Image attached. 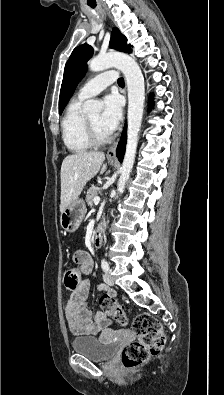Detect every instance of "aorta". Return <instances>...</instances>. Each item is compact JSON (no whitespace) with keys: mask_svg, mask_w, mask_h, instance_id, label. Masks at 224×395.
<instances>
[{"mask_svg":"<svg viewBox=\"0 0 224 395\" xmlns=\"http://www.w3.org/2000/svg\"><path fill=\"white\" fill-rule=\"evenodd\" d=\"M88 66L93 72H99L115 67L124 74L127 83V144L121 166V175L117 185L118 193L123 192L134 165L138 145V135L143 118L145 102L144 77L135 59L124 53H108L105 55H99L92 58L89 61ZM102 107L103 104L101 102L93 99L88 100L85 103V111L89 114L99 113Z\"/></svg>","mask_w":224,"mask_h":395,"instance_id":"aorta-1","label":"aorta"}]
</instances>
